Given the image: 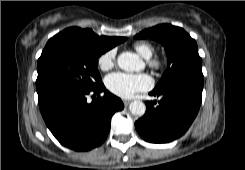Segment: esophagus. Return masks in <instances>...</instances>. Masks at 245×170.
Listing matches in <instances>:
<instances>
[{
	"label": "esophagus",
	"mask_w": 245,
	"mask_h": 170,
	"mask_svg": "<svg viewBox=\"0 0 245 170\" xmlns=\"http://www.w3.org/2000/svg\"><path fill=\"white\" fill-rule=\"evenodd\" d=\"M123 103L125 106H127L130 103V101L129 100H123Z\"/></svg>",
	"instance_id": "1"
}]
</instances>
